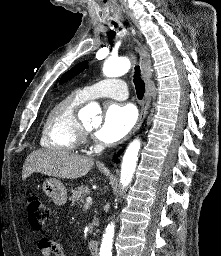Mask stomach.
I'll return each mask as SVG.
<instances>
[{"mask_svg":"<svg viewBox=\"0 0 221 256\" xmlns=\"http://www.w3.org/2000/svg\"><path fill=\"white\" fill-rule=\"evenodd\" d=\"M42 188L56 205L60 206L66 203L67 189L60 180L55 178L46 179Z\"/></svg>","mask_w":221,"mask_h":256,"instance_id":"0dacf381","label":"stomach"}]
</instances>
